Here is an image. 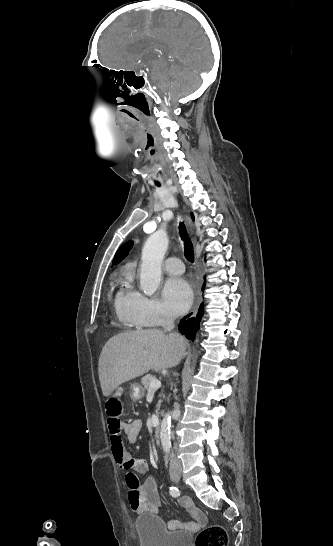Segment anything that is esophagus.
<instances>
[{"mask_svg": "<svg viewBox=\"0 0 333 546\" xmlns=\"http://www.w3.org/2000/svg\"><path fill=\"white\" fill-rule=\"evenodd\" d=\"M198 305H199V297H198V295L196 294V296H195V304H194V307L196 308V307H198Z\"/></svg>", "mask_w": 333, "mask_h": 546, "instance_id": "1", "label": "esophagus"}]
</instances>
